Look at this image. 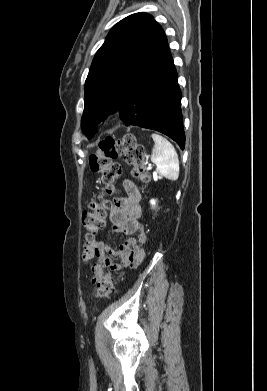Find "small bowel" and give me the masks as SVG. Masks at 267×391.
<instances>
[{"label":"small bowel","instance_id":"obj_1","mask_svg":"<svg viewBox=\"0 0 267 391\" xmlns=\"http://www.w3.org/2000/svg\"><path fill=\"white\" fill-rule=\"evenodd\" d=\"M123 186L126 196L116 198L110 204L109 218L115 233H124L130 237L117 250L103 239H95L86 244L83 259L89 261L96 257L91 268L94 283L103 276L106 268L118 271L128 266L136 267L146 256L145 229L139 222L142 214L141 193L131 180H125Z\"/></svg>","mask_w":267,"mask_h":391}]
</instances>
